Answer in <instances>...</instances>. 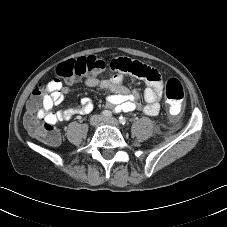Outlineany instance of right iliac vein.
<instances>
[{
    "mask_svg": "<svg viewBox=\"0 0 227 227\" xmlns=\"http://www.w3.org/2000/svg\"><path fill=\"white\" fill-rule=\"evenodd\" d=\"M101 116L100 115H94L91 117L90 119V124L92 126H96L97 124H99V122L101 121Z\"/></svg>",
    "mask_w": 227,
    "mask_h": 227,
    "instance_id": "1",
    "label": "right iliac vein"
}]
</instances>
